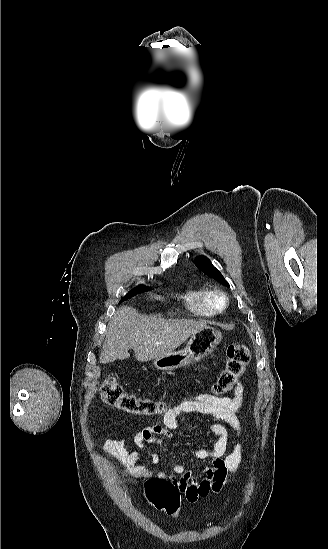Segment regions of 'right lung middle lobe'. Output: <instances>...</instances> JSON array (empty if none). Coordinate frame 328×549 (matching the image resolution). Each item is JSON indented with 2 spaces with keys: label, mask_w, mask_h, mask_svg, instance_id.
<instances>
[{
  "label": "right lung middle lobe",
  "mask_w": 328,
  "mask_h": 549,
  "mask_svg": "<svg viewBox=\"0 0 328 549\" xmlns=\"http://www.w3.org/2000/svg\"><path fill=\"white\" fill-rule=\"evenodd\" d=\"M149 288L144 286V285H139L137 286L136 288H134L132 291H130L129 293H127L122 299H121V302L126 300V299H129L131 297H133L134 295L136 294H139V293H142V292H145V291H148Z\"/></svg>",
  "instance_id": "right-lung-middle-lobe-1"
}]
</instances>
